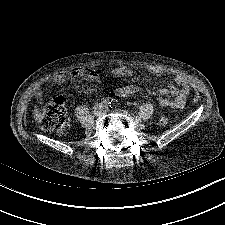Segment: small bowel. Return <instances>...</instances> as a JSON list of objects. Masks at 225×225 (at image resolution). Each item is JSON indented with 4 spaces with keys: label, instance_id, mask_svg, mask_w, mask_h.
Here are the masks:
<instances>
[{
    "label": "small bowel",
    "instance_id": "small-bowel-1",
    "mask_svg": "<svg viewBox=\"0 0 225 225\" xmlns=\"http://www.w3.org/2000/svg\"><path fill=\"white\" fill-rule=\"evenodd\" d=\"M154 74L162 73L158 69L152 70ZM131 74V70L127 67L121 66L115 68L111 75L114 78H121ZM68 77H71L74 80L85 79L87 81H96L98 79V73L95 70L90 69H82V68H72L68 71H57L52 74L46 81L48 84H62L64 83ZM177 86H169L160 89L159 103L163 107H173V108H182L186 103V98L189 94V87L184 80L183 77L177 76L175 79ZM137 88L134 85H124L120 86L116 89V94L120 97H127L135 93ZM167 94H172L175 96L173 100H169L164 97ZM34 98L37 101H41L43 99V89L42 87H38L35 89ZM39 112L36 111V117L38 118Z\"/></svg>",
    "mask_w": 225,
    "mask_h": 225
}]
</instances>
